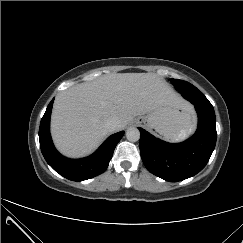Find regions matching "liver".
Wrapping results in <instances>:
<instances>
[{"mask_svg": "<svg viewBox=\"0 0 243 243\" xmlns=\"http://www.w3.org/2000/svg\"><path fill=\"white\" fill-rule=\"evenodd\" d=\"M190 109L161 77L154 73H113L80 83L60 92L55 99L51 132L57 148L65 155L91 153L111 132L110 118L123 129L135 116L160 106Z\"/></svg>", "mask_w": 243, "mask_h": 243, "instance_id": "liver-1", "label": "liver"}]
</instances>
